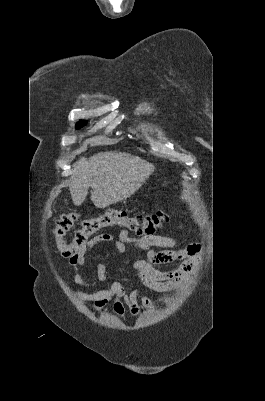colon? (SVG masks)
<instances>
[{
	"label": "colon",
	"mask_w": 265,
	"mask_h": 401,
	"mask_svg": "<svg viewBox=\"0 0 265 401\" xmlns=\"http://www.w3.org/2000/svg\"><path fill=\"white\" fill-rule=\"evenodd\" d=\"M78 218V213H65L57 219L53 230L57 248L62 256L67 258L84 249L89 237L104 227L117 225L129 229L137 235H151L168 221V215L164 210L148 215L130 216L125 211L112 209L98 217L85 220L72 242L68 243L64 237Z\"/></svg>",
	"instance_id": "obj_1"
}]
</instances>
